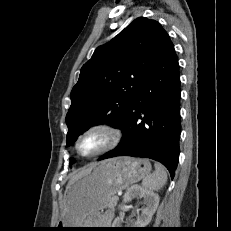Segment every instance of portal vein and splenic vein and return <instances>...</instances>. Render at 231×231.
I'll return each mask as SVG.
<instances>
[{
    "mask_svg": "<svg viewBox=\"0 0 231 231\" xmlns=\"http://www.w3.org/2000/svg\"><path fill=\"white\" fill-rule=\"evenodd\" d=\"M115 199H118V195L115 196Z\"/></svg>",
    "mask_w": 231,
    "mask_h": 231,
    "instance_id": "18ae733b",
    "label": "portal vein and splenic vein"
}]
</instances>
